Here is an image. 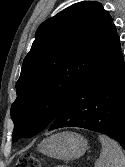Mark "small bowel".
Returning a JSON list of instances; mask_svg holds the SVG:
<instances>
[{
    "label": "small bowel",
    "instance_id": "1",
    "mask_svg": "<svg viewBox=\"0 0 125 167\" xmlns=\"http://www.w3.org/2000/svg\"><path fill=\"white\" fill-rule=\"evenodd\" d=\"M57 167H69V166H65V165H60V166H57Z\"/></svg>",
    "mask_w": 125,
    "mask_h": 167
}]
</instances>
